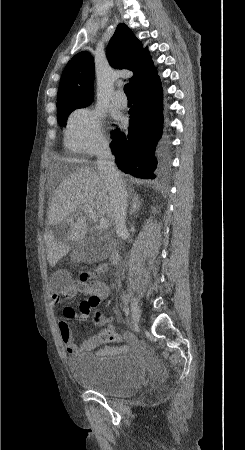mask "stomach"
<instances>
[{
    "label": "stomach",
    "mask_w": 245,
    "mask_h": 450,
    "mask_svg": "<svg viewBox=\"0 0 245 450\" xmlns=\"http://www.w3.org/2000/svg\"><path fill=\"white\" fill-rule=\"evenodd\" d=\"M72 257H73V259H79V256H78V254H76V253H74V254L72 255Z\"/></svg>",
    "instance_id": "0dacf381"
}]
</instances>
